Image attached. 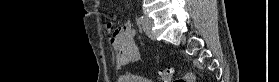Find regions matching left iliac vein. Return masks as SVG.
I'll list each match as a JSON object with an SVG mask.
<instances>
[{
  "mask_svg": "<svg viewBox=\"0 0 279 82\" xmlns=\"http://www.w3.org/2000/svg\"><path fill=\"white\" fill-rule=\"evenodd\" d=\"M142 25L146 35L149 38L154 39L156 36L153 31V21L148 18H145V21L142 23Z\"/></svg>",
  "mask_w": 279,
  "mask_h": 82,
  "instance_id": "obj_1",
  "label": "left iliac vein"
}]
</instances>
